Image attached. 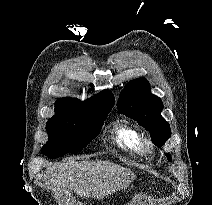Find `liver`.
I'll return each mask as SVG.
<instances>
[{"mask_svg":"<svg viewBox=\"0 0 212 205\" xmlns=\"http://www.w3.org/2000/svg\"><path fill=\"white\" fill-rule=\"evenodd\" d=\"M46 174L55 193L70 195L74 191L81 197L97 199L126 188L135 177L130 170L103 161L54 164L47 168Z\"/></svg>","mask_w":212,"mask_h":205,"instance_id":"1","label":"liver"}]
</instances>
